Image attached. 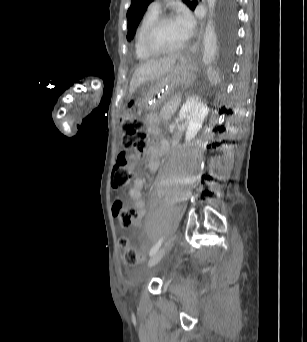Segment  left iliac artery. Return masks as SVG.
Returning <instances> with one entry per match:
<instances>
[{
  "label": "left iliac artery",
  "instance_id": "left-iliac-artery-1",
  "mask_svg": "<svg viewBox=\"0 0 307 342\" xmlns=\"http://www.w3.org/2000/svg\"><path fill=\"white\" fill-rule=\"evenodd\" d=\"M163 241V237H161L158 242L151 248L149 255L152 256L154 253H156L158 251V249L160 248L161 244Z\"/></svg>",
  "mask_w": 307,
  "mask_h": 342
}]
</instances>
